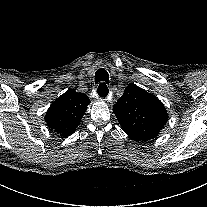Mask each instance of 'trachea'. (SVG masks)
Wrapping results in <instances>:
<instances>
[{
    "label": "trachea",
    "instance_id": "obj_1",
    "mask_svg": "<svg viewBox=\"0 0 207 207\" xmlns=\"http://www.w3.org/2000/svg\"><path fill=\"white\" fill-rule=\"evenodd\" d=\"M95 82H100L98 86V95L101 97H106L108 95V87L106 83H109V74L103 68H100L95 73Z\"/></svg>",
    "mask_w": 207,
    "mask_h": 207
}]
</instances>
